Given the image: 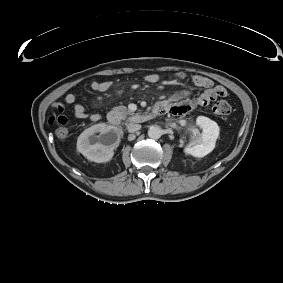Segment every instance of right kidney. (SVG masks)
<instances>
[{"label":"right kidney","mask_w":283,"mask_h":283,"mask_svg":"<svg viewBox=\"0 0 283 283\" xmlns=\"http://www.w3.org/2000/svg\"><path fill=\"white\" fill-rule=\"evenodd\" d=\"M99 133V135H96ZM121 132L105 123L85 129L77 140V150L88 160L102 163L112 159L119 146Z\"/></svg>","instance_id":"1"}]
</instances>
